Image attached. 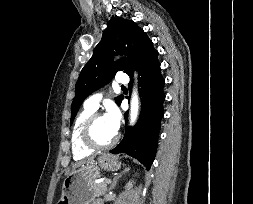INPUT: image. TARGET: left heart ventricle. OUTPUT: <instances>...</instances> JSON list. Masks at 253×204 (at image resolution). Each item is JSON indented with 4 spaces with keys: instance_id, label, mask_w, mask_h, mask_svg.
Wrapping results in <instances>:
<instances>
[{
    "instance_id": "b2bd125f",
    "label": "left heart ventricle",
    "mask_w": 253,
    "mask_h": 204,
    "mask_svg": "<svg viewBox=\"0 0 253 204\" xmlns=\"http://www.w3.org/2000/svg\"><path fill=\"white\" fill-rule=\"evenodd\" d=\"M115 134L116 132L109 126L104 116L97 119L93 128V137L98 143H108Z\"/></svg>"
}]
</instances>
